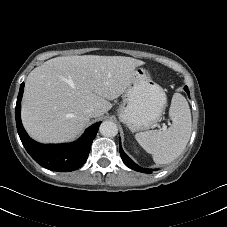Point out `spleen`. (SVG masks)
Segmentation results:
<instances>
[{"instance_id":"1","label":"spleen","mask_w":227,"mask_h":227,"mask_svg":"<svg viewBox=\"0 0 227 227\" xmlns=\"http://www.w3.org/2000/svg\"><path fill=\"white\" fill-rule=\"evenodd\" d=\"M169 116L172 125L165 130H150L136 133L140 146L153 156L156 164L174 161L185 149L191 136V112L185 97L175 93L172 97Z\"/></svg>"}]
</instances>
